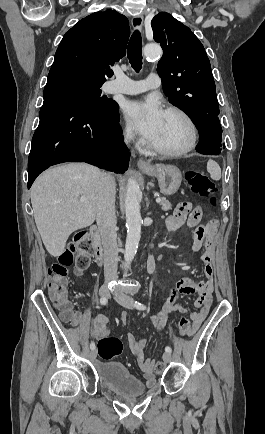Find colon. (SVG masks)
I'll return each instance as SVG.
<instances>
[{
	"mask_svg": "<svg viewBox=\"0 0 265 434\" xmlns=\"http://www.w3.org/2000/svg\"><path fill=\"white\" fill-rule=\"evenodd\" d=\"M187 183L192 192L208 199L211 206L216 207L218 199L216 196L217 186L207 176L199 171L192 170L187 173ZM82 246V248H84ZM89 256L83 253L73 251V247H67L62 253L57 262H54L48 269L47 287L52 300L57 301L61 310V321L71 322L72 314L70 313V304L65 300L67 293V274L68 268L75 262L79 271H84L89 265ZM193 330L192 319H181L179 323V331L181 335L187 336ZM98 353L103 361H109L115 356L122 353L123 343L114 336H106L99 340L97 345ZM164 369V364L158 362L155 367L156 373H161Z\"/></svg>",
	"mask_w": 265,
	"mask_h": 434,
	"instance_id": "obj_1",
	"label": "colon"
}]
</instances>
